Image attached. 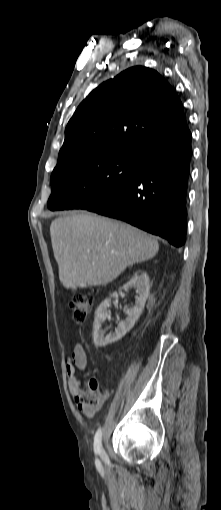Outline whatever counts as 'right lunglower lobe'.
Masks as SVG:
<instances>
[{"mask_svg":"<svg viewBox=\"0 0 221 510\" xmlns=\"http://www.w3.org/2000/svg\"><path fill=\"white\" fill-rule=\"evenodd\" d=\"M191 132L151 145L135 176L119 191L83 209L128 222L168 240L185 242Z\"/></svg>","mask_w":221,"mask_h":510,"instance_id":"98d812e1","label":"right lung lower lobe"}]
</instances>
